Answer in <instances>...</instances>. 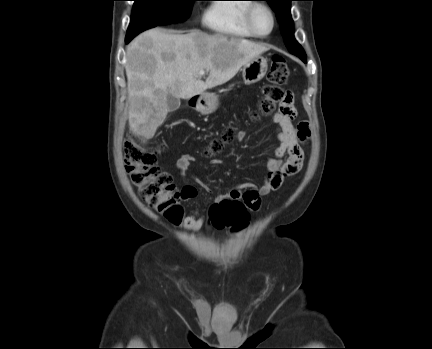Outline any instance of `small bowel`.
I'll use <instances>...</instances> for the list:
<instances>
[{
    "label": "small bowel",
    "mask_w": 432,
    "mask_h": 349,
    "mask_svg": "<svg viewBox=\"0 0 432 349\" xmlns=\"http://www.w3.org/2000/svg\"><path fill=\"white\" fill-rule=\"evenodd\" d=\"M296 116V111L292 103L287 110L284 107L274 113L272 121L277 125L278 147L275 149L273 156L267 160V177L261 186L255 183L246 182L233 187L229 193L218 195L215 198L216 204L223 200L242 201L248 210H257L261 205V198L269 193L278 190L287 177L297 174L303 165L304 151L301 144L306 142L310 136L308 123L301 122L298 125L293 124V119ZM245 138V133L241 132L237 136V140L241 141ZM195 161V158L190 154L181 155L176 161V168L180 174H184L190 165ZM222 163L219 159H214L211 164ZM206 191L209 188L200 183ZM197 188L193 185L183 187L181 196L184 201H190L197 196ZM204 223V217L198 212L186 216L182 225L184 229L197 232L201 229Z\"/></svg>",
    "instance_id": "small-bowel-1"
}]
</instances>
